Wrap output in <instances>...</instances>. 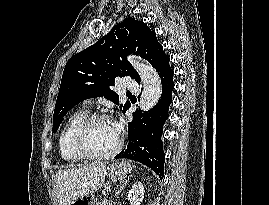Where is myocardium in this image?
Returning <instances> with one entry per match:
<instances>
[{"label": "myocardium", "mask_w": 269, "mask_h": 205, "mask_svg": "<svg viewBox=\"0 0 269 205\" xmlns=\"http://www.w3.org/2000/svg\"><path fill=\"white\" fill-rule=\"evenodd\" d=\"M108 119V116L102 113H96L88 116L78 127L74 136V146L77 152L86 159L90 160H104L117 155L123 147L124 139L121 134L118 136L116 146L109 152L103 154L93 153L87 146V134L92 125L100 120Z\"/></svg>", "instance_id": "obj_1"}]
</instances>
